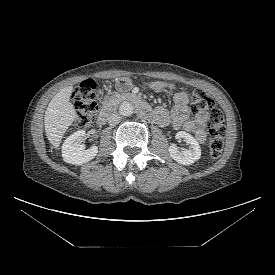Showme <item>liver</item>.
<instances>
[{"label": "liver", "mask_w": 275, "mask_h": 275, "mask_svg": "<svg viewBox=\"0 0 275 275\" xmlns=\"http://www.w3.org/2000/svg\"><path fill=\"white\" fill-rule=\"evenodd\" d=\"M72 91V86L61 89L52 98L45 111V133L55 148L59 147L63 135L77 116L76 110L70 102Z\"/></svg>", "instance_id": "obj_1"}]
</instances>
